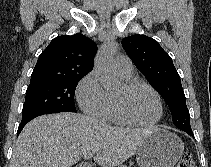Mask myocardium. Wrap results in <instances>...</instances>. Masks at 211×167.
I'll return each instance as SVG.
<instances>
[{
	"instance_id": "obj_1",
	"label": "myocardium",
	"mask_w": 211,
	"mask_h": 167,
	"mask_svg": "<svg viewBox=\"0 0 211 167\" xmlns=\"http://www.w3.org/2000/svg\"><path fill=\"white\" fill-rule=\"evenodd\" d=\"M124 86L127 90H133V89H137V88H147L148 90H150L158 103V107H159V114L157 116V118L151 122H140L135 120L134 118H132L121 106V104L119 103V101L117 99H115L114 97L112 98V103H113V107H114V111L117 114V116L126 124L128 125H132V126H138V127H152L154 125H156L157 123L160 122V120L163 117L164 114V107H163V103H162V99L160 94L158 93V91L150 84L140 81V80H127L124 83Z\"/></svg>"
}]
</instances>
